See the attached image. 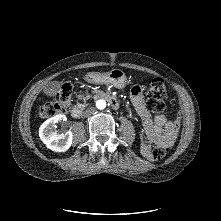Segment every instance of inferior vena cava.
I'll return each mask as SVG.
<instances>
[{
  "label": "inferior vena cava",
  "instance_id": "obj_1",
  "mask_svg": "<svg viewBox=\"0 0 221 221\" xmlns=\"http://www.w3.org/2000/svg\"><path fill=\"white\" fill-rule=\"evenodd\" d=\"M94 112H95V108H94V107H89L88 109H86V110L83 112V116H84V117L91 116Z\"/></svg>",
  "mask_w": 221,
  "mask_h": 221
}]
</instances>
